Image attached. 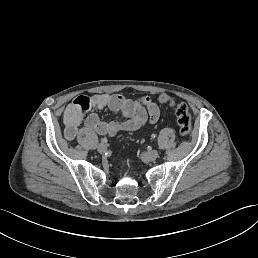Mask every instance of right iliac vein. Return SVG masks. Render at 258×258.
<instances>
[{
	"instance_id": "right-iliac-vein-1",
	"label": "right iliac vein",
	"mask_w": 258,
	"mask_h": 258,
	"mask_svg": "<svg viewBox=\"0 0 258 258\" xmlns=\"http://www.w3.org/2000/svg\"><path fill=\"white\" fill-rule=\"evenodd\" d=\"M107 150H108V147H107V145L104 144V143L98 144V145L96 146V151H97L98 153L104 154V153L107 152Z\"/></svg>"
}]
</instances>
